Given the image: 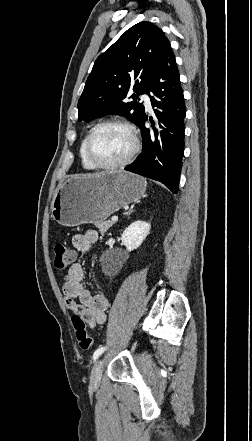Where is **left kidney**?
<instances>
[{"mask_svg":"<svg viewBox=\"0 0 252 441\" xmlns=\"http://www.w3.org/2000/svg\"><path fill=\"white\" fill-rule=\"evenodd\" d=\"M150 224L145 221H135L130 224L121 236L122 243L128 251L137 249L150 231Z\"/></svg>","mask_w":252,"mask_h":441,"instance_id":"left-kidney-1","label":"left kidney"}]
</instances>
